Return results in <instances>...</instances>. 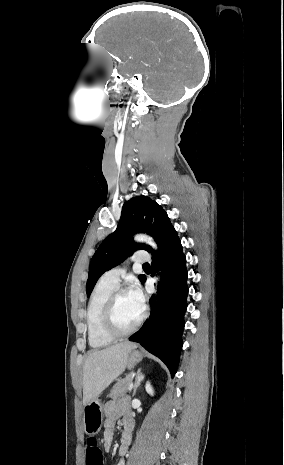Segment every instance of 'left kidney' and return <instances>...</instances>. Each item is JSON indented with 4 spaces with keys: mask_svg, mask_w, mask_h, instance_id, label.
<instances>
[{
    "mask_svg": "<svg viewBox=\"0 0 284 465\" xmlns=\"http://www.w3.org/2000/svg\"><path fill=\"white\" fill-rule=\"evenodd\" d=\"M147 393H149V395H154V391L150 385V383H146V387H145Z\"/></svg>",
    "mask_w": 284,
    "mask_h": 465,
    "instance_id": "5707ae66",
    "label": "left kidney"
}]
</instances>
